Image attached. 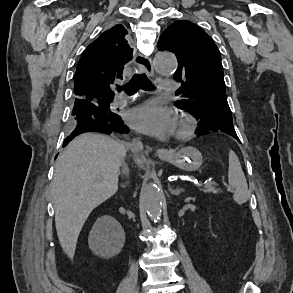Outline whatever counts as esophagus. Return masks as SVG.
I'll return each mask as SVG.
<instances>
[{"label": "esophagus", "instance_id": "obj_1", "mask_svg": "<svg viewBox=\"0 0 293 293\" xmlns=\"http://www.w3.org/2000/svg\"><path fill=\"white\" fill-rule=\"evenodd\" d=\"M134 60L139 68L146 72L148 75L152 76L154 74V68L150 57L138 53L135 55ZM157 154L160 157H165L170 155V151L166 148H159L157 150Z\"/></svg>", "mask_w": 293, "mask_h": 293}]
</instances>
